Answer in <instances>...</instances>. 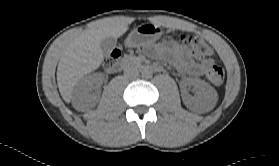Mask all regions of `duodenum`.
<instances>
[{
    "label": "duodenum",
    "mask_w": 279,
    "mask_h": 166,
    "mask_svg": "<svg viewBox=\"0 0 279 166\" xmlns=\"http://www.w3.org/2000/svg\"><path fill=\"white\" fill-rule=\"evenodd\" d=\"M137 66L144 70H157L158 69V66L151 65V64H148L143 61L138 62ZM125 67H126V63L122 60H118L112 66H110L109 71L113 72V73H117V72L122 71Z\"/></svg>",
    "instance_id": "410a0bca"
}]
</instances>
